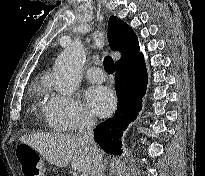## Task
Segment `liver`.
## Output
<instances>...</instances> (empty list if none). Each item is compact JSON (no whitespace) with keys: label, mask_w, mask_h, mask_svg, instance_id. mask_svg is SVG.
<instances>
[{"label":"liver","mask_w":205,"mask_h":176,"mask_svg":"<svg viewBox=\"0 0 205 176\" xmlns=\"http://www.w3.org/2000/svg\"><path fill=\"white\" fill-rule=\"evenodd\" d=\"M20 141L38 151L49 163L66 167L71 162L73 170L91 174L93 154L74 135L36 133L24 135Z\"/></svg>","instance_id":"obj_1"}]
</instances>
